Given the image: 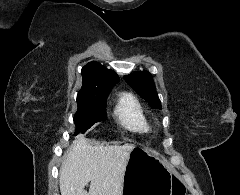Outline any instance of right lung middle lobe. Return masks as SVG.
<instances>
[{
  "mask_svg": "<svg viewBox=\"0 0 240 195\" xmlns=\"http://www.w3.org/2000/svg\"><path fill=\"white\" fill-rule=\"evenodd\" d=\"M78 109L74 116L77 135L85 132L94 123L103 121L107 118L106 99H84L77 100Z\"/></svg>",
  "mask_w": 240,
  "mask_h": 195,
  "instance_id": "dd1d6c3e",
  "label": "right lung middle lobe"
}]
</instances>
